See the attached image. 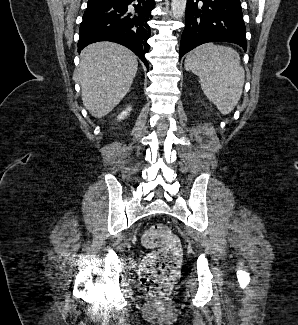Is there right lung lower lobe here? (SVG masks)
<instances>
[{
	"label": "right lung lower lobe",
	"mask_w": 298,
	"mask_h": 325,
	"mask_svg": "<svg viewBox=\"0 0 298 325\" xmlns=\"http://www.w3.org/2000/svg\"><path fill=\"white\" fill-rule=\"evenodd\" d=\"M136 0L89 1L80 26L78 51L97 41H112L132 50L149 68L144 57L149 51L151 36L149 21L154 0H137L135 13L128 5ZM129 9V10H128Z\"/></svg>",
	"instance_id": "right-lung-lower-lobe-1"
}]
</instances>
